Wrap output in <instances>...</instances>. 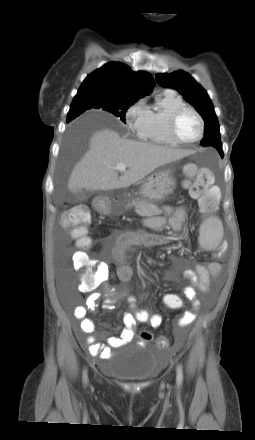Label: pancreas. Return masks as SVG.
<instances>
[{
  "mask_svg": "<svg viewBox=\"0 0 255 440\" xmlns=\"http://www.w3.org/2000/svg\"><path fill=\"white\" fill-rule=\"evenodd\" d=\"M127 208L134 207L135 212L140 216H155L160 215L162 213L161 210L156 207H152L150 202L146 199H134L130 203L127 204Z\"/></svg>",
  "mask_w": 255,
  "mask_h": 440,
  "instance_id": "1",
  "label": "pancreas"
}]
</instances>
